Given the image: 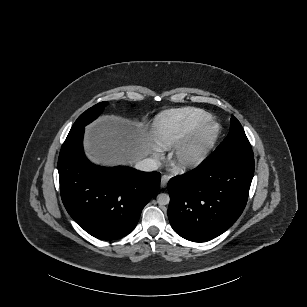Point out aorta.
Instances as JSON below:
<instances>
[{
  "instance_id": "obj_1",
  "label": "aorta",
  "mask_w": 307,
  "mask_h": 307,
  "mask_svg": "<svg viewBox=\"0 0 307 307\" xmlns=\"http://www.w3.org/2000/svg\"><path fill=\"white\" fill-rule=\"evenodd\" d=\"M170 201V197L168 194L161 193L157 196V202L159 205H167Z\"/></svg>"
}]
</instances>
